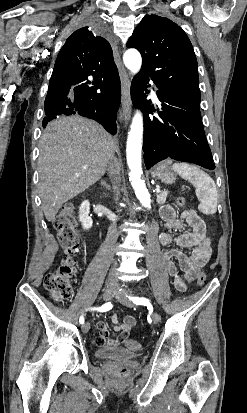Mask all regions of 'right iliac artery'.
Returning <instances> with one entry per match:
<instances>
[{
    "label": "right iliac artery",
    "instance_id": "1",
    "mask_svg": "<svg viewBox=\"0 0 247 413\" xmlns=\"http://www.w3.org/2000/svg\"><path fill=\"white\" fill-rule=\"evenodd\" d=\"M112 307H113V305L111 304V302H108V303H105L104 305H102L99 308H91V310H98L100 312H105V311L110 310ZM79 322H80V324L84 323L83 315L80 317Z\"/></svg>",
    "mask_w": 247,
    "mask_h": 413
}]
</instances>
